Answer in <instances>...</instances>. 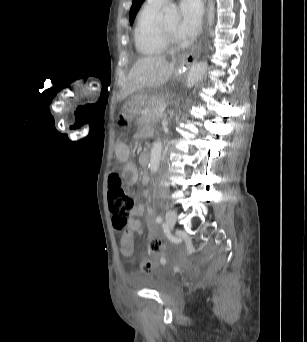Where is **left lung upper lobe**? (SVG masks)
Returning a JSON list of instances; mask_svg holds the SVG:
<instances>
[{
    "mask_svg": "<svg viewBox=\"0 0 307 342\" xmlns=\"http://www.w3.org/2000/svg\"><path fill=\"white\" fill-rule=\"evenodd\" d=\"M144 2V0H133L132 7L130 9V15H129V21L132 24L133 20L141 6V4Z\"/></svg>",
    "mask_w": 307,
    "mask_h": 342,
    "instance_id": "1",
    "label": "left lung upper lobe"
}]
</instances>
